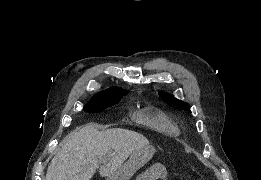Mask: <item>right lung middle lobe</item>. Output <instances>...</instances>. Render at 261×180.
Segmentation results:
<instances>
[{
  "label": "right lung middle lobe",
  "instance_id": "1",
  "mask_svg": "<svg viewBox=\"0 0 261 180\" xmlns=\"http://www.w3.org/2000/svg\"><path fill=\"white\" fill-rule=\"evenodd\" d=\"M121 97L116 98H103V99H91L87 105L84 107V110L87 112H100L110 107L117 102H119Z\"/></svg>",
  "mask_w": 261,
  "mask_h": 180
}]
</instances>
